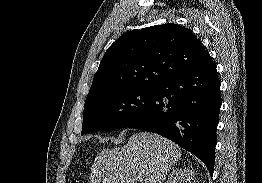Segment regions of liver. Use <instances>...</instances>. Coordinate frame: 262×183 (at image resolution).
<instances>
[{
    "instance_id": "liver-1",
    "label": "liver",
    "mask_w": 262,
    "mask_h": 183,
    "mask_svg": "<svg viewBox=\"0 0 262 183\" xmlns=\"http://www.w3.org/2000/svg\"><path fill=\"white\" fill-rule=\"evenodd\" d=\"M182 151L157 134H133L122 148L105 149L95 158L90 183H163Z\"/></svg>"
}]
</instances>
